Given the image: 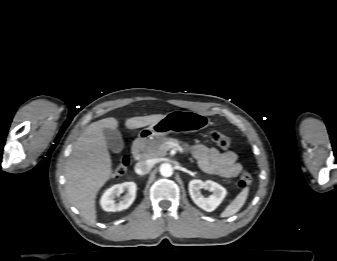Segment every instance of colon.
Segmentation results:
<instances>
[{
    "mask_svg": "<svg viewBox=\"0 0 337 261\" xmlns=\"http://www.w3.org/2000/svg\"><path fill=\"white\" fill-rule=\"evenodd\" d=\"M209 137L219 148L227 150L231 145V140L225 134L218 131H211ZM130 164L128 156H123L113 169V175L119 177L123 175ZM252 183V177L248 172H242L238 178L237 185L240 188H247Z\"/></svg>",
    "mask_w": 337,
    "mask_h": 261,
    "instance_id": "5ec220e1",
    "label": "colon"
}]
</instances>
